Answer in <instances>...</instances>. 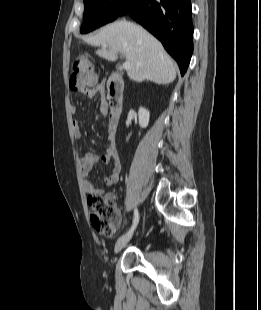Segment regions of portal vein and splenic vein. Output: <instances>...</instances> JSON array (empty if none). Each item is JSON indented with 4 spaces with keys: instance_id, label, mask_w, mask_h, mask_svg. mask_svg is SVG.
I'll return each instance as SVG.
<instances>
[{
    "instance_id": "obj_1",
    "label": "portal vein and splenic vein",
    "mask_w": 261,
    "mask_h": 310,
    "mask_svg": "<svg viewBox=\"0 0 261 310\" xmlns=\"http://www.w3.org/2000/svg\"><path fill=\"white\" fill-rule=\"evenodd\" d=\"M103 47H107V45H106V44H104V45H103ZM123 68H124V69H126V70H128V69L130 68V63H129V62H127V61H126V62H124V63H123Z\"/></svg>"
}]
</instances>
